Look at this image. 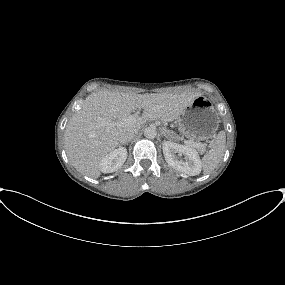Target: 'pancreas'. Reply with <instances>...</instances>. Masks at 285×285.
I'll list each match as a JSON object with an SVG mask.
<instances>
[{
  "label": "pancreas",
  "instance_id": "1",
  "mask_svg": "<svg viewBox=\"0 0 285 285\" xmlns=\"http://www.w3.org/2000/svg\"><path fill=\"white\" fill-rule=\"evenodd\" d=\"M198 144H199V146L197 147V148H198V150H199L200 152H204V150H205L204 145H203V144H201V143H198Z\"/></svg>",
  "mask_w": 285,
  "mask_h": 285
}]
</instances>
